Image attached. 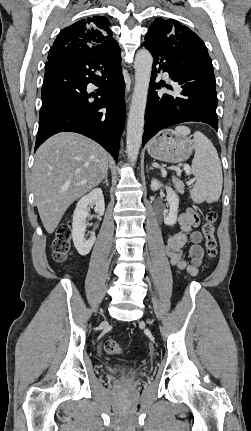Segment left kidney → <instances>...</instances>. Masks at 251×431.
<instances>
[{
  "mask_svg": "<svg viewBox=\"0 0 251 431\" xmlns=\"http://www.w3.org/2000/svg\"><path fill=\"white\" fill-rule=\"evenodd\" d=\"M161 187H163V184H161L156 179H152L151 190L156 191ZM165 189L167 192V200H168V203L170 206V210H169L168 215L164 218V223L167 226H173L176 224V221H177V214H178V208H179V197L173 191V189L171 187L165 186Z\"/></svg>",
  "mask_w": 251,
  "mask_h": 431,
  "instance_id": "left-kidney-1",
  "label": "left kidney"
}]
</instances>
